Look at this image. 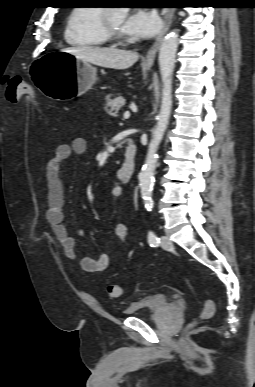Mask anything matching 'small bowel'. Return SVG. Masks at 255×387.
I'll list each match as a JSON object with an SVG mask.
<instances>
[{"mask_svg": "<svg viewBox=\"0 0 255 387\" xmlns=\"http://www.w3.org/2000/svg\"><path fill=\"white\" fill-rule=\"evenodd\" d=\"M87 150V142L84 138H74L70 144H60L56 147L53 157L47 162L45 168V179L47 182L46 219L51 226L52 232L59 241L64 254L71 260H77L86 272H103L110 263L108 254H100L96 258L79 256L76 252V241L74 235H82V230L73 233L65 222V193L61 178L62 168L65 162L74 154L81 155ZM110 196L119 199L123 196V188L113 185L110 188ZM115 246L124 245L128 239V228L124 224L114 227Z\"/></svg>", "mask_w": 255, "mask_h": 387, "instance_id": "c3829d8e", "label": "small bowel"}]
</instances>
